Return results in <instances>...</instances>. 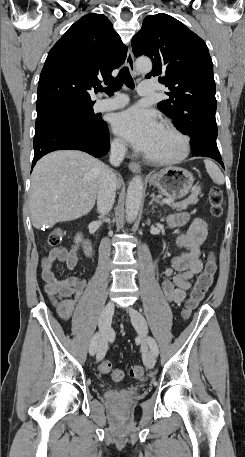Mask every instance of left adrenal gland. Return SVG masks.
Masks as SVG:
<instances>
[{
  "label": "left adrenal gland",
  "mask_w": 245,
  "mask_h": 457,
  "mask_svg": "<svg viewBox=\"0 0 245 457\" xmlns=\"http://www.w3.org/2000/svg\"><path fill=\"white\" fill-rule=\"evenodd\" d=\"M151 196H152V198H151L149 204H152V202H154V200H156V202H159V204H162L161 200H159V198H156L155 192H152Z\"/></svg>",
  "instance_id": "a2214340"
}]
</instances>
